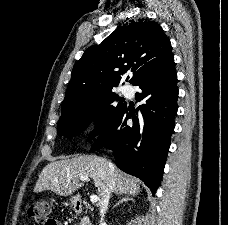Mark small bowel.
I'll list each match as a JSON object with an SVG mask.
<instances>
[{"label": "small bowel", "mask_w": 228, "mask_h": 225, "mask_svg": "<svg viewBox=\"0 0 228 225\" xmlns=\"http://www.w3.org/2000/svg\"><path fill=\"white\" fill-rule=\"evenodd\" d=\"M52 225H61V223L59 221H57V220H53Z\"/></svg>", "instance_id": "c3829d8e"}]
</instances>
